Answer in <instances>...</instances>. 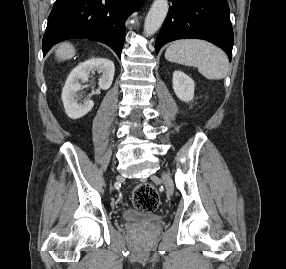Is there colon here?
<instances>
[{
	"instance_id": "5ec220e1",
	"label": "colon",
	"mask_w": 286,
	"mask_h": 269,
	"mask_svg": "<svg viewBox=\"0 0 286 269\" xmlns=\"http://www.w3.org/2000/svg\"><path fill=\"white\" fill-rule=\"evenodd\" d=\"M132 200L134 206L144 212H153L160 205V198L150 183H140L136 186Z\"/></svg>"
}]
</instances>
